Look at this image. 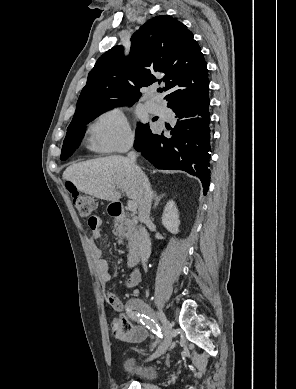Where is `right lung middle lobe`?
I'll use <instances>...</instances> for the list:
<instances>
[{
  "label": "right lung middle lobe",
  "mask_w": 296,
  "mask_h": 389,
  "mask_svg": "<svg viewBox=\"0 0 296 389\" xmlns=\"http://www.w3.org/2000/svg\"><path fill=\"white\" fill-rule=\"evenodd\" d=\"M114 106L90 108L84 112L73 117V120L67 128L66 137L63 142L61 160H66L75 149L79 146L81 139L84 136L85 125L95 119L103 112L113 108ZM152 130L148 124L139 123L136 129L135 147L142 146L144 142L150 137Z\"/></svg>",
  "instance_id": "1"
}]
</instances>
